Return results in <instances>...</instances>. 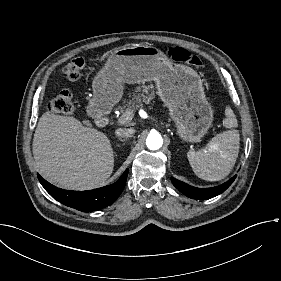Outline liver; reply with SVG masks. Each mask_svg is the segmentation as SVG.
<instances>
[{
  "mask_svg": "<svg viewBox=\"0 0 281 281\" xmlns=\"http://www.w3.org/2000/svg\"><path fill=\"white\" fill-rule=\"evenodd\" d=\"M32 150L42 177L65 189L99 187L113 172L108 137L74 117L45 112L37 124Z\"/></svg>",
  "mask_w": 281,
  "mask_h": 281,
  "instance_id": "obj_1",
  "label": "liver"
}]
</instances>
